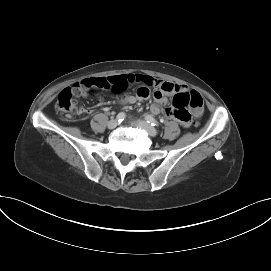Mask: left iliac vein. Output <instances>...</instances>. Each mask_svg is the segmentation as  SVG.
<instances>
[{
	"mask_svg": "<svg viewBox=\"0 0 271 271\" xmlns=\"http://www.w3.org/2000/svg\"><path fill=\"white\" fill-rule=\"evenodd\" d=\"M135 124L144 129L152 137L158 134V131L144 120H138Z\"/></svg>",
	"mask_w": 271,
	"mask_h": 271,
	"instance_id": "1",
	"label": "left iliac vein"
}]
</instances>
